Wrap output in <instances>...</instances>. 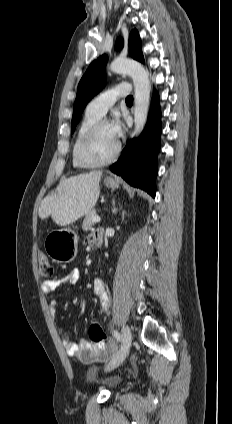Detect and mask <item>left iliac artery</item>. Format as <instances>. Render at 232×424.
Returning <instances> with one entry per match:
<instances>
[{
	"label": "left iliac artery",
	"instance_id": "left-iliac-artery-1",
	"mask_svg": "<svg viewBox=\"0 0 232 424\" xmlns=\"http://www.w3.org/2000/svg\"><path fill=\"white\" fill-rule=\"evenodd\" d=\"M105 309L107 310V307H106ZM113 334H114V337H115L118 341H120V340H121V336H120V334H119V332H118L117 330H114V331H113Z\"/></svg>",
	"mask_w": 232,
	"mask_h": 424
}]
</instances>
